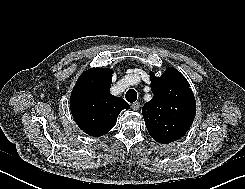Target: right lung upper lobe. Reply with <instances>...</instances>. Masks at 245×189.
I'll list each match as a JSON object with an SVG mask.
<instances>
[{
  "label": "right lung upper lobe",
  "instance_id": "obj_1",
  "mask_svg": "<svg viewBox=\"0 0 245 189\" xmlns=\"http://www.w3.org/2000/svg\"><path fill=\"white\" fill-rule=\"evenodd\" d=\"M112 70L90 68L76 82L70 97L75 122L90 136H102L115 125L119 113L130 106L110 94Z\"/></svg>",
  "mask_w": 245,
  "mask_h": 189
}]
</instances>
